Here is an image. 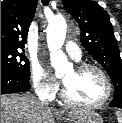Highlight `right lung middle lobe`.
Listing matches in <instances>:
<instances>
[{
  "label": "right lung middle lobe",
  "mask_w": 122,
  "mask_h": 123,
  "mask_svg": "<svg viewBox=\"0 0 122 123\" xmlns=\"http://www.w3.org/2000/svg\"><path fill=\"white\" fill-rule=\"evenodd\" d=\"M1 68L30 79L29 60L17 50H1Z\"/></svg>",
  "instance_id": "dd1d6c3e"
}]
</instances>
